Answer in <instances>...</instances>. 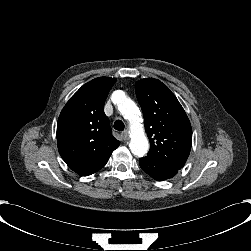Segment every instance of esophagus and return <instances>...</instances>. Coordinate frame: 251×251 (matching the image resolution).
I'll list each match as a JSON object with an SVG mask.
<instances>
[{"instance_id":"obj_1","label":"esophagus","mask_w":251,"mask_h":251,"mask_svg":"<svg viewBox=\"0 0 251 251\" xmlns=\"http://www.w3.org/2000/svg\"><path fill=\"white\" fill-rule=\"evenodd\" d=\"M122 136L125 140L129 139V133L127 131L122 132Z\"/></svg>"}]
</instances>
